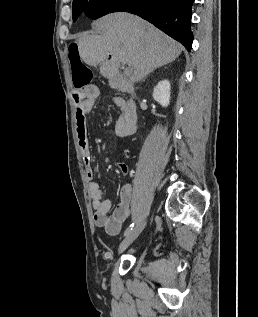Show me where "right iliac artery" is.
I'll use <instances>...</instances> for the list:
<instances>
[{
	"label": "right iliac artery",
	"instance_id": "1",
	"mask_svg": "<svg viewBox=\"0 0 258 317\" xmlns=\"http://www.w3.org/2000/svg\"><path fill=\"white\" fill-rule=\"evenodd\" d=\"M133 227H134V223L130 224V225L128 226V228L125 230L124 236H126L127 234H129V233L132 231Z\"/></svg>",
	"mask_w": 258,
	"mask_h": 317
}]
</instances>
